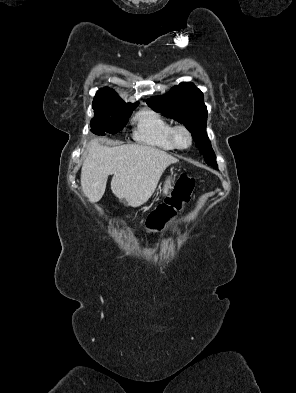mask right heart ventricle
<instances>
[{"mask_svg": "<svg viewBox=\"0 0 296 393\" xmlns=\"http://www.w3.org/2000/svg\"><path fill=\"white\" fill-rule=\"evenodd\" d=\"M173 124L160 113L145 109L136 116L134 137L137 141L163 150H174L171 141Z\"/></svg>", "mask_w": 296, "mask_h": 393, "instance_id": "1", "label": "right heart ventricle"}]
</instances>
